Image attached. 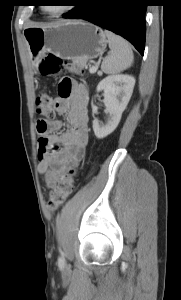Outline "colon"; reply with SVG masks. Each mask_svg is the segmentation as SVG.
Masks as SVG:
<instances>
[{
    "label": "colon",
    "instance_id": "1",
    "mask_svg": "<svg viewBox=\"0 0 181 300\" xmlns=\"http://www.w3.org/2000/svg\"><path fill=\"white\" fill-rule=\"evenodd\" d=\"M40 73L43 77L51 78L59 74L61 71L70 73H78L79 70L71 62L64 61L60 57L49 54L39 65ZM37 111L45 118L37 122V132L40 137L46 135L48 130V121L55 118V109L52 97L49 93L41 94L36 101ZM77 179V173L72 171L62 176L55 188L51 191L48 199V207L50 210H57L72 194L74 184Z\"/></svg>",
    "mask_w": 181,
    "mask_h": 300
}]
</instances>
